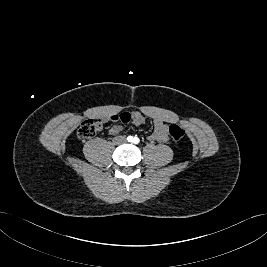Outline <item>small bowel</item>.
<instances>
[{
	"mask_svg": "<svg viewBox=\"0 0 267 267\" xmlns=\"http://www.w3.org/2000/svg\"><path fill=\"white\" fill-rule=\"evenodd\" d=\"M128 114V118L123 123H132L136 126H140L145 123L146 121V115L141 111H133V112H126ZM110 117V116H109ZM153 123H154V130L151 135V139L153 141L166 143L168 141V126L166 124V121L159 116L153 117ZM123 129V126L120 124L113 125L109 132L112 135H116Z\"/></svg>",
	"mask_w": 267,
	"mask_h": 267,
	"instance_id": "small-bowel-1",
	"label": "small bowel"
}]
</instances>
